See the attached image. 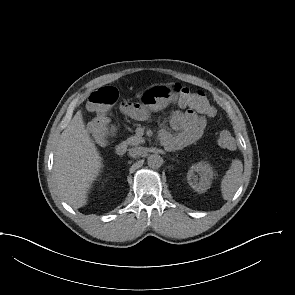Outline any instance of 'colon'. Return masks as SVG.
<instances>
[{"label": "colon", "mask_w": 295, "mask_h": 295, "mask_svg": "<svg viewBox=\"0 0 295 295\" xmlns=\"http://www.w3.org/2000/svg\"><path fill=\"white\" fill-rule=\"evenodd\" d=\"M174 93L179 104L191 107L198 113L208 117L215 115L214 107L203 92L192 91L181 84H176ZM117 99L118 91L111 86L98 89L88 98L87 109L95 114V118L90 125V131L97 144H105L107 140L109 113ZM218 144L228 150H233L236 147L235 139L228 130H222L219 133Z\"/></svg>", "instance_id": "5ec220e1"}]
</instances>
